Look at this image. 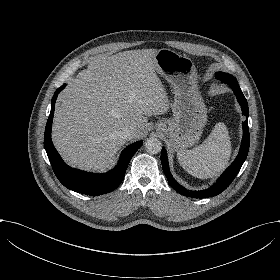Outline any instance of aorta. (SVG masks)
<instances>
[{"mask_svg":"<svg viewBox=\"0 0 280 280\" xmlns=\"http://www.w3.org/2000/svg\"><path fill=\"white\" fill-rule=\"evenodd\" d=\"M145 150L150 154H157L162 150L161 140L157 137H149L144 144Z\"/></svg>","mask_w":280,"mask_h":280,"instance_id":"762f6f07","label":"aorta"}]
</instances>
